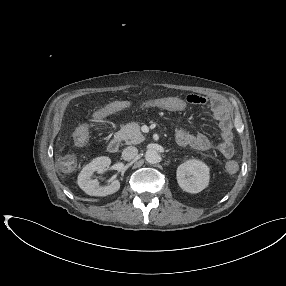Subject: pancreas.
Listing matches in <instances>:
<instances>
[{
	"label": "pancreas",
	"instance_id": "cf45deb5",
	"mask_svg": "<svg viewBox=\"0 0 286 286\" xmlns=\"http://www.w3.org/2000/svg\"><path fill=\"white\" fill-rule=\"evenodd\" d=\"M118 140H123L126 144H139L145 140L141 130L140 124L131 122L123 125L121 129L115 134Z\"/></svg>",
	"mask_w": 286,
	"mask_h": 286
}]
</instances>
